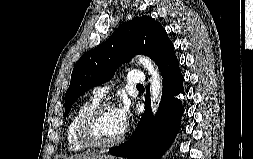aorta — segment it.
<instances>
[{
	"instance_id": "1",
	"label": "aorta",
	"mask_w": 253,
	"mask_h": 159,
	"mask_svg": "<svg viewBox=\"0 0 253 159\" xmlns=\"http://www.w3.org/2000/svg\"><path fill=\"white\" fill-rule=\"evenodd\" d=\"M136 59L148 71L150 76L151 107L155 114L162 93V77L151 59L145 56H138Z\"/></svg>"
}]
</instances>
